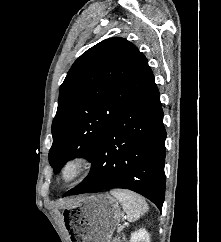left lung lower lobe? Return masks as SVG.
I'll use <instances>...</instances> for the list:
<instances>
[{"label": "left lung lower lobe", "mask_w": 221, "mask_h": 242, "mask_svg": "<svg viewBox=\"0 0 221 242\" xmlns=\"http://www.w3.org/2000/svg\"><path fill=\"white\" fill-rule=\"evenodd\" d=\"M163 111L156 84L138 97L99 140L89 175L63 197L124 188L162 209L165 195Z\"/></svg>", "instance_id": "1"}]
</instances>
